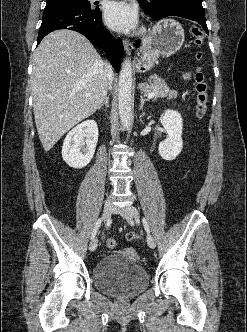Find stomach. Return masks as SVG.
<instances>
[{"instance_id": "stomach-1", "label": "stomach", "mask_w": 247, "mask_h": 332, "mask_svg": "<svg viewBox=\"0 0 247 332\" xmlns=\"http://www.w3.org/2000/svg\"><path fill=\"white\" fill-rule=\"evenodd\" d=\"M184 39L180 23L173 19L159 21L142 40V56L136 65L137 71L147 72L158 58L174 55L181 49Z\"/></svg>"}]
</instances>
